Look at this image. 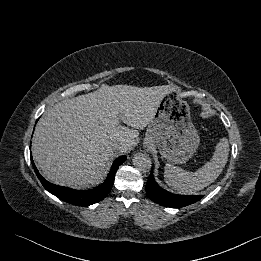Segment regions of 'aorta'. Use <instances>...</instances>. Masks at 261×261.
Returning <instances> with one entry per match:
<instances>
[{
	"mask_svg": "<svg viewBox=\"0 0 261 261\" xmlns=\"http://www.w3.org/2000/svg\"><path fill=\"white\" fill-rule=\"evenodd\" d=\"M133 164L141 172H148L152 166L149 155L145 153H136L133 157Z\"/></svg>",
	"mask_w": 261,
	"mask_h": 261,
	"instance_id": "762f6f07",
	"label": "aorta"
}]
</instances>
